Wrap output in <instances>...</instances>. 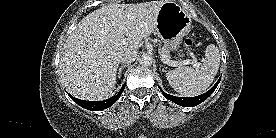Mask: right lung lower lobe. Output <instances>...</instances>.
Listing matches in <instances>:
<instances>
[{
	"label": "right lung lower lobe",
	"mask_w": 276,
	"mask_h": 138,
	"mask_svg": "<svg viewBox=\"0 0 276 138\" xmlns=\"http://www.w3.org/2000/svg\"><path fill=\"white\" fill-rule=\"evenodd\" d=\"M124 88H125V84L123 85V87L120 89L119 93L116 96H113V97L103 100V101L80 100V99H77V98L71 96L70 94H68V95L74 102H76L78 105H80L81 107H83L87 110H91V111L104 110V109L109 108L120 98V95L122 94Z\"/></svg>",
	"instance_id": "98d812e1"
}]
</instances>
